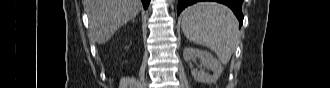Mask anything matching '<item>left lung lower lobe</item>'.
<instances>
[{"label": "left lung lower lobe", "mask_w": 330, "mask_h": 88, "mask_svg": "<svg viewBox=\"0 0 330 88\" xmlns=\"http://www.w3.org/2000/svg\"><path fill=\"white\" fill-rule=\"evenodd\" d=\"M200 1H203V0H179L178 15L187 6L200 2ZM212 1L227 5L234 12L235 16L238 18L240 27H241V25L243 24V14H242V9H241L243 0H212Z\"/></svg>", "instance_id": "left-lung-lower-lobe-1"}]
</instances>
